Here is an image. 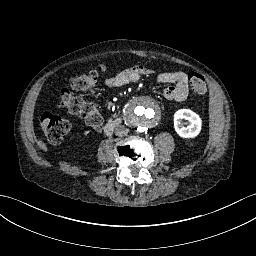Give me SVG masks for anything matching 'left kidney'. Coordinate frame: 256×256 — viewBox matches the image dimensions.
Segmentation results:
<instances>
[{
  "mask_svg": "<svg viewBox=\"0 0 256 256\" xmlns=\"http://www.w3.org/2000/svg\"><path fill=\"white\" fill-rule=\"evenodd\" d=\"M183 119L189 121L187 127L183 125ZM174 128L179 136L192 138L197 136L201 130V119L196 113L189 109H180L174 114Z\"/></svg>",
  "mask_w": 256,
  "mask_h": 256,
  "instance_id": "obj_1",
  "label": "left kidney"
}]
</instances>
